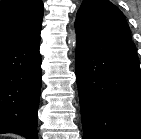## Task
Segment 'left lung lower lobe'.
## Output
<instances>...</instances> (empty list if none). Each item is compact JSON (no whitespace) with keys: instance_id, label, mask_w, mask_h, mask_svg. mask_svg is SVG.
I'll return each instance as SVG.
<instances>
[{"instance_id":"0a47b994","label":"left lung lower lobe","mask_w":141,"mask_h":139,"mask_svg":"<svg viewBox=\"0 0 141 139\" xmlns=\"http://www.w3.org/2000/svg\"><path fill=\"white\" fill-rule=\"evenodd\" d=\"M83 139H141V70L132 40L75 23Z\"/></svg>"}]
</instances>
